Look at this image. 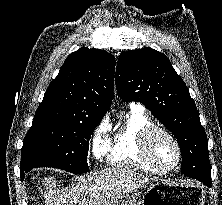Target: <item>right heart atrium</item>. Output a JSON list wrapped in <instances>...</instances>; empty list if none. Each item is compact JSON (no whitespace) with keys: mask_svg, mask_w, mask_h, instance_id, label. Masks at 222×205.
<instances>
[{"mask_svg":"<svg viewBox=\"0 0 222 205\" xmlns=\"http://www.w3.org/2000/svg\"><path fill=\"white\" fill-rule=\"evenodd\" d=\"M109 128L106 122H102L94 131L92 138V151L95 157L103 156L109 144Z\"/></svg>","mask_w":222,"mask_h":205,"instance_id":"obj_1","label":"right heart atrium"}]
</instances>
